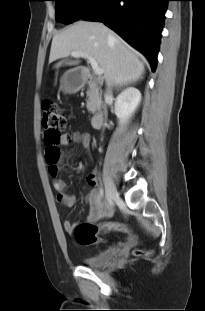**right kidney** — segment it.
Segmentation results:
<instances>
[{"mask_svg": "<svg viewBox=\"0 0 205 311\" xmlns=\"http://www.w3.org/2000/svg\"><path fill=\"white\" fill-rule=\"evenodd\" d=\"M141 93L134 87L122 91L115 101V113L120 125H124L132 117L141 102Z\"/></svg>", "mask_w": 205, "mask_h": 311, "instance_id": "obj_1", "label": "right kidney"}]
</instances>
